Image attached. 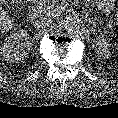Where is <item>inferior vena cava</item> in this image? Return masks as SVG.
Listing matches in <instances>:
<instances>
[{
    "instance_id": "inferior-vena-cava-1",
    "label": "inferior vena cava",
    "mask_w": 118,
    "mask_h": 118,
    "mask_svg": "<svg viewBox=\"0 0 118 118\" xmlns=\"http://www.w3.org/2000/svg\"><path fill=\"white\" fill-rule=\"evenodd\" d=\"M50 23H52V18L48 15H42L35 21V27L37 29L39 28H45L48 26Z\"/></svg>"
}]
</instances>
